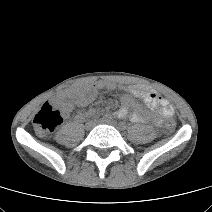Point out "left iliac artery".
I'll return each mask as SVG.
<instances>
[{
	"label": "left iliac artery",
	"mask_w": 212,
	"mask_h": 212,
	"mask_svg": "<svg viewBox=\"0 0 212 212\" xmlns=\"http://www.w3.org/2000/svg\"><path fill=\"white\" fill-rule=\"evenodd\" d=\"M119 126L121 127V129H126V124L124 122H120Z\"/></svg>",
	"instance_id": "44dca946"
}]
</instances>
